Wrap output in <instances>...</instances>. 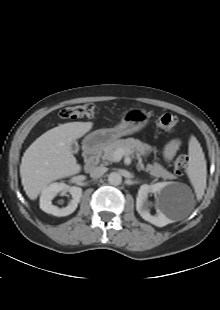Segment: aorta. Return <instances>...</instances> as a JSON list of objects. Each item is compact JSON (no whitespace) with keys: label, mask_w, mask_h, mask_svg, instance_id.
Instances as JSON below:
<instances>
[{"label":"aorta","mask_w":220,"mask_h":310,"mask_svg":"<svg viewBox=\"0 0 220 310\" xmlns=\"http://www.w3.org/2000/svg\"><path fill=\"white\" fill-rule=\"evenodd\" d=\"M108 181L113 186H118L122 182V177L117 172H111L108 176Z\"/></svg>","instance_id":"aorta-1"}]
</instances>
